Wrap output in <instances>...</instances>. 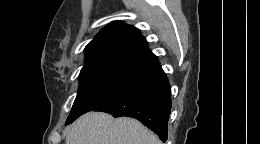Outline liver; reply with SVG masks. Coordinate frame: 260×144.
I'll return each mask as SVG.
<instances>
[{
    "instance_id": "6515ba94",
    "label": "liver",
    "mask_w": 260,
    "mask_h": 144,
    "mask_svg": "<svg viewBox=\"0 0 260 144\" xmlns=\"http://www.w3.org/2000/svg\"><path fill=\"white\" fill-rule=\"evenodd\" d=\"M66 144H161V141L139 121L114 119L103 112H89L68 129Z\"/></svg>"
}]
</instances>
